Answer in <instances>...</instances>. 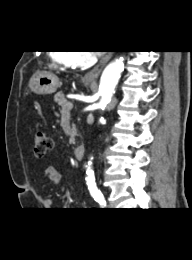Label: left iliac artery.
I'll return each mask as SVG.
<instances>
[{
	"label": "left iliac artery",
	"instance_id": "obj_1",
	"mask_svg": "<svg viewBox=\"0 0 192 260\" xmlns=\"http://www.w3.org/2000/svg\"><path fill=\"white\" fill-rule=\"evenodd\" d=\"M90 194L94 198L95 201H97L100 205H105V198L101 191L97 188V186H90L89 187Z\"/></svg>",
	"mask_w": 192,
	"mask_h": 260
}]
</instances>
